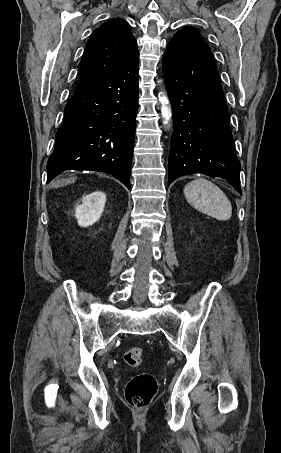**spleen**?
<instances>
[{
	"instance_id": "1",
	"label": "spleen",
	"mask_w": 281,
	"mask_h": 453,
	"mask_svg": "<svg viewBox=\"0 0 281 453\" xmlns=\"http://www.w3.org/2000/svg\"><path fill=\"white\" fill-rule=\"evenodd\" d=\"M186 200L217 220H229L232 216V204L225 192L206 178H196L188 182L184 188Z\"/></svg>"
}]
</instances>
